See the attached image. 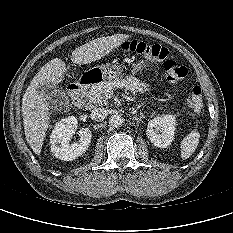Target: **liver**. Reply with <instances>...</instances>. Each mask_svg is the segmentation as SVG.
Wrapping results in <instances>:
<instances>
[{
  "label": "liver",
  "instance_id": "1",
  "mask_svg": "<svg viewBox=\"0 0 233 233\" xmlns=\"http://www.w3.org/2000/svg\"><path fill=\"white\" fill-rule=\"evenodd\" d=\"M130 38L129 35L115 34L94 39L72 52L71 60L78 65L89 64L108 55ZM69 68L59 59L46 63L33 77L22 99V116L27 143L37 155L41 153L46 131L49 127L50 113L48 104L37 88L42 83L57 85L63 82L64 74Z\"/></svg>",
  "mask_w": 233,
  "mask_h": 233
}]
</instances>
